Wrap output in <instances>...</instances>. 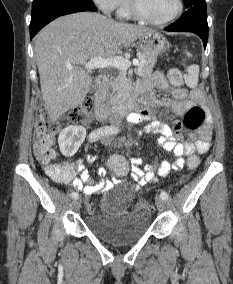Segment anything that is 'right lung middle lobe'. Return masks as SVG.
<instances>
[{
  "instance_id": "right-lung-middle-lobe-1",
  "label": "right lung middle lobe",
  "mask_w": 233,
  "mask_h": 284,
  "mask_svg": "<svg viewBox=\"0 0 233 284\" xmlns=\"http://www.w3.org/2000/svg\"><path fill=\"white\" fill-rule=\"evenodd\" d=\"M95 6L92 0H33L32 15L54 6Z\"/></svg>"
}]
</instances>
